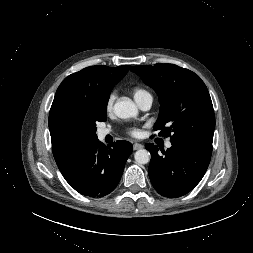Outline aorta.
<instances>
[{
  "label": "aorta",
  "mask_w": 253,
  "mask_h": 253,
  "mask_svg": "<svg viewBox=\"0 0 253 253\" xmlns=\"http://www.w3.org/2000/svg\"><path fill=\"white\" fill-rule=\"evenodd\" d=\"M114 113L121 119L136 117L138 109L133 101L129 99L119 100L114 105ZM138 164H147L150 161V153L146 149H139L134 155Z\"/></svg>",
  "instance_id": "obj_1"
}]
</instances>
